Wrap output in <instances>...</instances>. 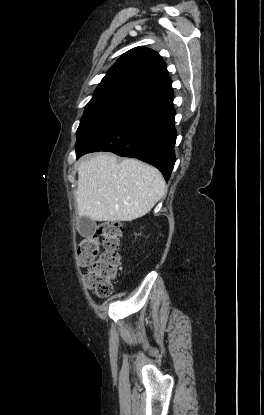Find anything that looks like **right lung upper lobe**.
I'll use <instances>...</instances> for the list:
<instances>
[{"label": "right lung upper lobe", "mask_w": 264, "mask_h": 415, "mask_svg": "<svg viewBox=\"0 0 264 415\" xmlns=\"http://www.w3.org/2000/svg\"><path fill=\"white\" fill-rule=\"evenodd\" d=\"M171 83L162 57L154 50L136 47L115 62L94 95L119 93L145 100L172 89Z\"/></svg>", "instance_id": "1"}]
</instances>
